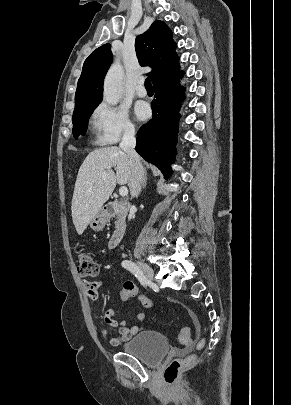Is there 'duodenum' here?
<instances>
[{"mask_svg":"<svg viewBox=\"0 0 291 405\" xmlns=\"http://www.w3.org/2000/svg\"><path fill=\"white\" fill-rule=\"evenodd\" d=\"M129 209V203L127 201H119L116 203H110L105 206L104 212L107 216H111L115 213L124 215ZM125 234V224L120 221L112 233L108 245L110 248L117 247L122 241Z\"/></svg>","mask_w":291,"mask_h":405,"instance_id":"duodenum-1","label":"duodenum"}]
</instances>
